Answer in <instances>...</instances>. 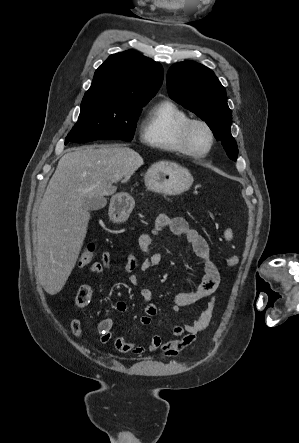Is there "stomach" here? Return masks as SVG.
Segmentation results:
<instances>
[{"label":"stomach","instance_id":"0dacf381","mask_svg":"<svg viewBox=\"0 0 299 443\" xmlns=\"http://www.w3.org/2000/svg\"><path fill=\"white\" fill-rule=\"evenodd\" d=\"M147 189L165 195H177L188 190L193 183L190 172L175 163H159L151 166L145 176ZM134 206L133 198L127 193H118L111 199L109 216L114 221H124L128 218Z\"/></svg>","mask_w":299,"mask_h":443}]
</instances>
